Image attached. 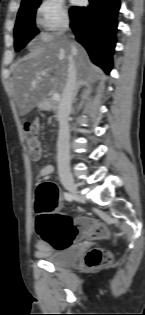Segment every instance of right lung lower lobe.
I'll return each instance as SVG.
<instances>
[{
    "label": "right lung lower lobe",
    "mask_w": 145,
    "mask_h": 315,
    "mask_svg": "<svg viewBox=\"0 0 145 315\" xmlns=\"http://www.w3.org/2000/svg\"><path fill=\"white\" fill-rule=\"evenodd\" d=\"M87 7L70 9V26L76 39L88 51L93 63L107 73L112 69L116 43L119 0H89Z\"/></svg>",
    "instance_id": "98d812e1"
}]
</instances>
